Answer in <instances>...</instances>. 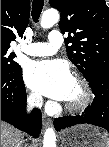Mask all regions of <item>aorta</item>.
<instances>
[{
  "label": "aorta",
  "instance_id": "obj_1",
  "mask_svg": "<svg viewBox=\"0 0 109 147\" xmlns=\"http://www.w3.org/2000/svg\"><path fill=\"white\" fill-rule=\"evenodd\" d=\"M60 15L56 9L46 10L41 18V27L48 29L59 21ZM43 147H56V136L53 128H47L44 133Z\"/></svg>",
  "mask_w": 109,
  "mask_h": 147
}]
</instances>
